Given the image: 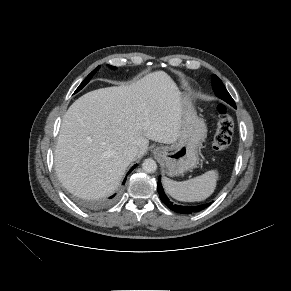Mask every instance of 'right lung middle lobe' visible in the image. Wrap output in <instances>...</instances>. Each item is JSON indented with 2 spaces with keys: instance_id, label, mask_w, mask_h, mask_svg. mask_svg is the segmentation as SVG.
<instances>
[{
  "instance_id": "right-lung-middle-lobe-1",
  "label": "right lung middle lobe",
  "mask_w": 291,
  "mask_h": 291,
  "mask_svg": "<svg viewBox=\"0 0 291 291\" xmlns=\"http://www.w3.org/2000/svg\"><path fill=\"white\" fill-rule=\"evenodd\" d=\"M100 66H98L96 69H94L86 78L85 80L79 85V87L76 89V92H78L79 90H81L89 81L90 79L93 77V75L96 73V71L99 69Z\"/></svg>"
}]
</instances>
